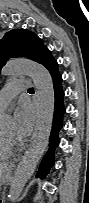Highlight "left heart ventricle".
<instances>
[{"label": "left heart ventricle", "instance_id": "1", "mask_svg": "<svg viewBox=\"0 0 89 203\" xmlns=\"http://www.w3.org/2000/svg\"><path fill=\"white\" fill-rule=\"evenodd\" d=\"M4 137H6L7 139H14L15 138V132L13 127H9L8 129H6L3 133Z\"/></svg>", "mask_w": 89, "mask_h": 203}]
</instances>
